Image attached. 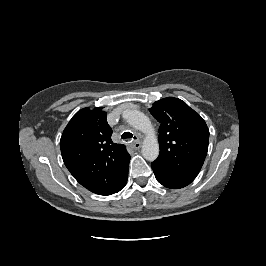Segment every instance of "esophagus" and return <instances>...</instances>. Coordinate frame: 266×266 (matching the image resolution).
I'll return each instance as SVG.
<instances>
[{
    "label": "esophagus",
    "instance_id": "esophagus-1",
    "mask_svg": "<svg viewBox=\"0 0 266 266\" xmlns=\"http://www.w3.org/2000/svg\"><path fill=\"white\" fill-rule=\"evenodd\" d=\"M141 144H142V143H141L140 141H134V142L132 143V146H133L134 149H140Z\"/></svg>",
    "mask_w": 266,
    "mask_h": 266
}]
</instances>
